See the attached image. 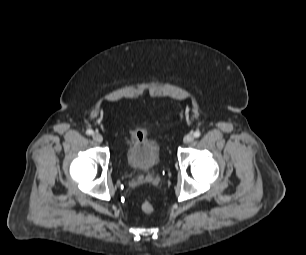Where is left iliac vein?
<instances>
[{
  "label": "left iliac vein",
  "instance_id": "obj_1",
  "mask_svg": "<svg viewBox=\"0 0 306 255\" xmlns=\"http://www.w3.org/2000/svg\"><path fill=\"white\" fill-rule=\"evenodd\" d=\"M194 140V135L192 134H187L184 139H183V142L185 144H188V143H191L192 141Z\"/></svg>",
  "mask_w": 306,
  "mask_h": 255
}]
</instances>
